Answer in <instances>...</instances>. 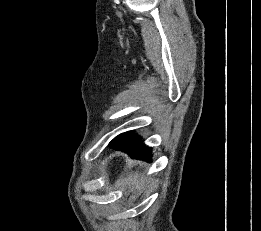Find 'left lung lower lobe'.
<instances>
[{
    "label": "left lung lower lobe",
    "mask_w": 261,
    "mask_h": 231,
    "mask_svg": "<svg viewBox=\"0 0 261 231\" xmlns=\"http://www.w3.org/2000/svg\"><path fill=\"white\" fill-rule=\"evenodd\" d=\"M109 147L126 152L131 158L150 161L152 154L151 149L144 145L141 140L124 139L116 143H109Z\"/></svg>",
    "instance_id": "1"
}]
</instances>
